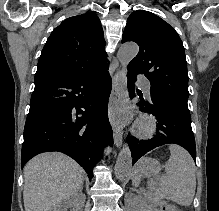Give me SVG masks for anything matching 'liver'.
<instances>
[{
	"mask_svg": "<svg viewBox=\"0 0 219 211\" xmlns=\"http://www.w3.org/2000/svg\"><path fill=\"white\" fill-rule=\"evenodd\" d=\"M84 169L65 153L48 151L24 165L25 211H51L82 187Z\"/></svg>",
	"mask_w": 219,
	"mask_h": 211,
	"instance_id": "obj_1",
	"label": "liver"
}]
</instances>
